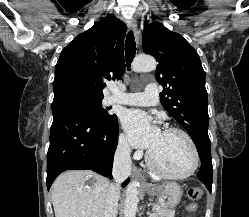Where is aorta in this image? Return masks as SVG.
Listing matches in <instances>:
<instances>
[{"mask_svg":"<svg viewBox=\"0 0 249 217\" xmlns=\"http://www.w3.org/2000/svg\"><path fill=\"white\" fill-rule=\"evenodd\" d=\"M157 63L153 57L137 56L132 64V69L135 72H148L156 69ZM138 187L139 182L132 180L126 191L124 217H135L138 205Z\"/></svg>","mask_w":249,"mask_h":217,"instance_id":"1","label":"aorta"}]
</instances>
